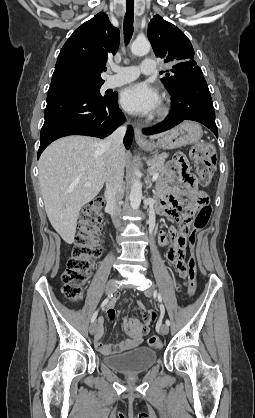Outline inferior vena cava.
I'll list each match as a JSON object with an SVG mask.
<instances>
[{"label":"inferior vena cava","instance_id":"602c4592","mask_svg":"<svg viewBox=\"0 0 255 418\" xmlns=\"http://www.w3.org/2000/svg\"><path fill=\"white\" fill-rule=\"evenodd\" d=\"M125 133L126 125H122L101 144L105 149L107 207L111 210L116 228L120 226L117 217L120 212L119 204L124 196V166L120 153Z\"/></svg>","mask_w":255,"mask_h":418}]
</instances>
